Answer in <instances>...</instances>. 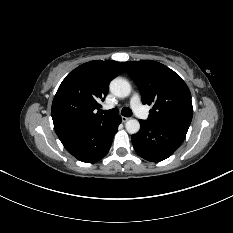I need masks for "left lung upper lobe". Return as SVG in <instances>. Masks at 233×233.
I'll return each mask as SVG.
<instances>
[{"instance_id":"5c2ea615","label":"left lung upper lobe","mask_w":233,"mask_h":233,"mask_svg":"<svg viewBox=\"0 0 233 233\" xmlns=\"http://www.w3.org/2000/svg\"><path fill=\"white\" fill-rule=\"evenodd\" d=\"M122 65L138 86L144 104L153 105L148 121L187 133L193 114L186 83L173 70L152 61H129Z\"/></svg>"}]
</instances>
